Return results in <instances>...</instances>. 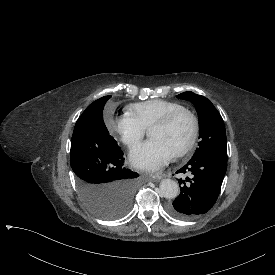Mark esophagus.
Listing matches in <instances>:
<instances>
[{"mask_svg": "<svg viewBox=\"0 0 275 275\" xmlns=\"http://www.w3.org/2000/svg\"><path fill=\"white\" fill-rule=\"evenodd\" d=\"M165 176L164 173L162 172H157L155 174H152L151 177L154 178L155 180H160Z\"/></svg>", "mask_w": 275, "mask_h": 275, "instance_id": "1", "label": "esophagus"}]
</instances>
